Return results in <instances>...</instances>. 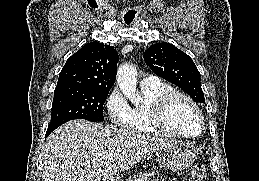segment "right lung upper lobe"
I'll return each mask as SVG.
<instances>
[{
    "label": "right lung upper lobe",
    "mask_w": 259,
    "mask_h": 181,
    "mask_svg": "<svg viewBox=\"0 0 259 181\" xmlns=\"http://www.w3.org/2000/svg\"><path fill=\"white\" fill-rule=\"evenodd\" d=\"M117 61L118 54L113 46L87 43L68 58L56 88L110 90L116 79Z\"/></svg>",
    "instance_id": "1"
}]
</instances>
